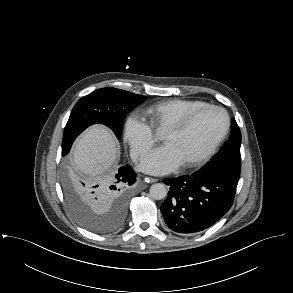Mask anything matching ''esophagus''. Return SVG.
<instances>
[{
  "label": "esophagus",
  "instance_id": "34e87169",
  "mask_svg": "<svg viewBox=\"0 0 293 293\" xmlns=\"http://www.w3.org/2000/svg\"><path fill=\"white\" fill-rule=\"evenodd\" d=\"M145 180H148V181H150L151 183H154V182H157V181H158V179H156V178H152V177H145Z\"/></svg>",
  "mask_w": 293,
  "mask_h": 293
}]
</instances>
